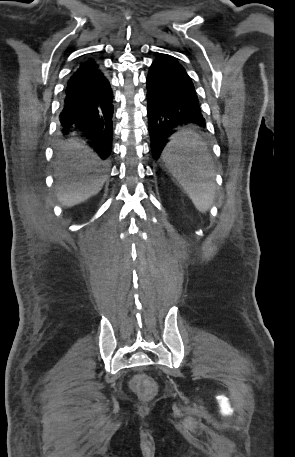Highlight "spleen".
<instances>
[{"mask_svg": "<svg viewBox=\"0 0 295 457\" xmlns=\"http://www.w3.org/2000/svg\"><path fill=\"white\" fill-rule=\"evenodd\" d=\"M205 151V144L193 130L182 129L173 135L163 151V160L179 180L195 207L205 213L215 198L212 173L206 169L209 162L204 156L195 160L190 155Z\"/></svg>", "mask_w": 295, "mask_h": 457, "instance_id": "1", "label": "spleen"}]
</instances>
